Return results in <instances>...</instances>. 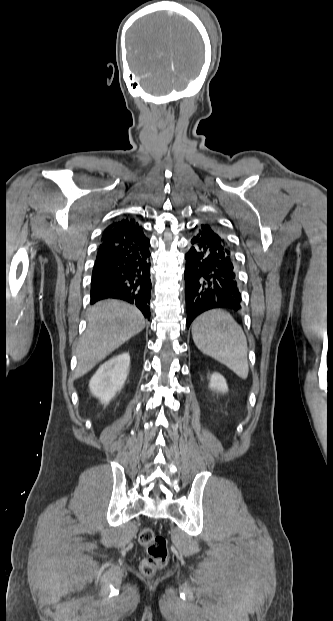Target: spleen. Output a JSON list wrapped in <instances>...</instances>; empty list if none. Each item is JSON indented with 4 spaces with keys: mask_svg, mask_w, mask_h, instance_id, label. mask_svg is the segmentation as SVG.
Here are the masks:
<instances>
[{
    "mask_svg": "<svg viewBox=\"0 0 333 621\" xmlns=\"http://www.w3.org/2000/svg\"><path fill=\"white\" fill-rule=\"evenodd\" d=\"M197 348L205 355L226 365L242 379L248 377L247 339L241 326L222 310H209L192 324Z\"/></svg>",
    "mask_w": 333,
    "mask_h": 621,
    "instance_id": "3e777b00",
    "label": "spleen"
}]
</instances>
